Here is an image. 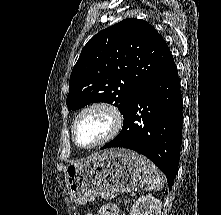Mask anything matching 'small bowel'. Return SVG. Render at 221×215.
Listing matches in <instances>:
<instances>
[{
    "instance_id": "obj_1",
    "label": "small bowel",
    "mask_w": 221,
    "mask_h": 215,
    "mask_svg": "<svg viewBox=\"0 0 221 215\" xmlns=\"http://www.w3.org/2000/svg\"><path fill=\"white\" fill-rule=\"evenodd\" d=\"M85 215H120V211L115 205H104L97 212H88Z\"/></svg>"
}]
</instances>
